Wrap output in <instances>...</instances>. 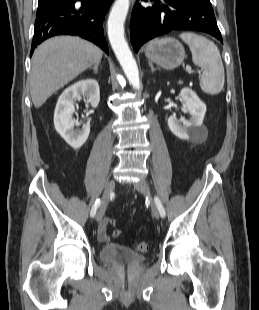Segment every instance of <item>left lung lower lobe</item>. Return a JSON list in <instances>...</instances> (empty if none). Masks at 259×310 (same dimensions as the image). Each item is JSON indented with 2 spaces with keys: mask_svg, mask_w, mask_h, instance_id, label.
Masks as SVG:
<instances>
[{
  "mask_svg": "<svg viewBox=\"0 0 259 310\" xmlns=\"http://www.w3.org/2000/svg\"><path fill=\"white\" fill-rule=\"evenodd\" d=\"M150 1L153 6L136 3L132 12L130 39L135 52L148 40L173 30L202 31L223 42L209 0Z\"/></svg>",
  "mask_w": 259,
  "mask_h": 310,
  "instance_id": "left-lung-lower-lobe-1",
  "label": "left lung lower lobe"
}]
</instances>
